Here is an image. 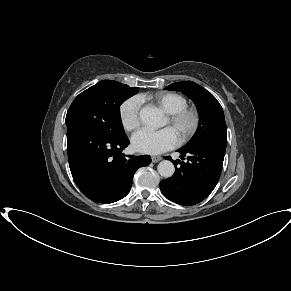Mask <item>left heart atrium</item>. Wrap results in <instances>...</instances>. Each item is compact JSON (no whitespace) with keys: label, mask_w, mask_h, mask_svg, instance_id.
I'll list each match as a JSON object with an SVG mask.
<instances>
[{"label":"left heart atrium","mask_w":291,"mask_h":291,"mask_svg":"<svg viewBox=\"0 0 291 291\" xmlns=\"http://www.w3.org/2000/svg\"><path fill=\"white\" fill-rule=\"evenodd\" d=\"M134 150L150 155H156L176 147L179 138L172 128L161 130L141 129L131 139Z\"/></svg>","instance_id":"1"}]
</instances>
